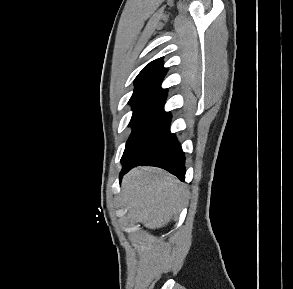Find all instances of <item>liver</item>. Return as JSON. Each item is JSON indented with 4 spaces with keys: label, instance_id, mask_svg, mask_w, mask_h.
Wrapping results in <instances>:
<instances>
[{
    "label": "liver",
    "instance_id": "6515ba94",
    "mask_svg": "<svg viewBox=\"0 0 293 289\" xmlns=\"http://www.w3.org/2000/svg\"><path fill=\"white\" fill-rule=\"evenodd\" d=\"M122 197L131 220L156 229L181 210L185 187L164 170L139 167L124 176Z\"/></svg>",
    "mask_w": 293,
    "mask_h": 289
}]
</instances>
